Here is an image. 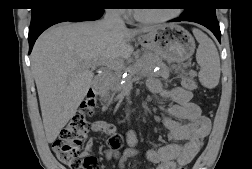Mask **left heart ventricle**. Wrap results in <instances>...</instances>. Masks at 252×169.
<instances>
[{
    "instance_id": "1",
    "label": "left heart ventricle",
    "mask_w": 252,
    "mask_h": 169,
    "mask_svg": "<svg viewBox=\"0 0 252 169\" xmlns=\"http://www.w3.org/2000/svg\"><path fill=\"white\" fill-rule=\"evenodd\" d=\"M167 11H160L155 9H138L137 13L143 17H156L166 13Z\"/></svg>"
}]
</instances>
